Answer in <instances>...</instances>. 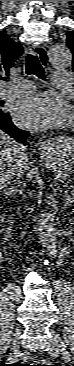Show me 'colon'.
<instances>
[{"label":"colon","mask_w":74,"mask_h":366,"mask_svg":"<svg viewBox=\"0 0 74 366\" xmlns=\"http://www.w3.org/2000/svg\"><path fill=\"white\" fill-rule=\"evenodd\" d=\"M26 366H53L45 361H35L32 364H25Z\"/></svg>","instance_id":"colon-1"}]
</instances>
